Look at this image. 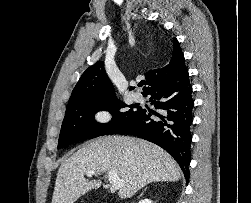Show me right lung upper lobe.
I'll return each mask as SVG.
<instances>
[{"instance_id": "obj_1", "label": "right lung upper lobe", "mask_w": 251, "mask_h": 203, "mask_svg": "<svg viewBox=\"0 0 251 203\" xmlns=\"http://www.w3.org/2000/svg\"><path fill=\"white\" fill-rule=\"evenodd\" d=\"M184 66V55L180 49L179 42L176 38H173V51L170 61L165 67L151 70L145 74L148 86L143 90L142 94L144 95L151 87L166 80ZM114 97L116 96L113 84L105 72L104 63L98 61L82 74L72 91L68 105Z\"/></svg>"}]
</instances>
